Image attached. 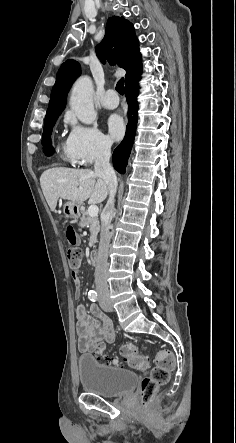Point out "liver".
Returning <instances> with one entry per match:
<instances>
[{"mask_svg":"<svg viewBox=\"0 0 236 443\" xmlns=\"http://www.w3.org/2000/svg\"><path fill=\"white\" fill-rule=\"evenodd\" d=\"M44 197L55 211L59 198L82 204L103 202L108 194L105 181L89 169L51 168L40 177Z\"/></svg>","mask_w":236,"mask_h":443,"instance_id":"6515ba94","label":"liver"}]
</instances>
